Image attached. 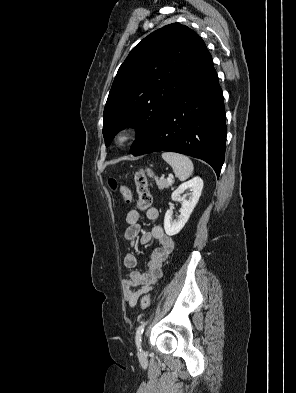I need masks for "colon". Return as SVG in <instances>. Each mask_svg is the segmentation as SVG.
I'll list each match as a JSON object with an SVG mask.
<instances>
[{
  "label": "colon",
  "instance_id": "5ec220e1",
  "mask_svg": "<svg viewBox=\"0 0 296 393\" xmlns=\"http://www.w3.org/2000/svg\"><path fill=\"white\" fill-rule=\"evenodd\" d=\"M151 170H139L134 175L137 199H134L130 188L124 184H119L114 179L109 180V185L113 190L118 189L124 201L128 204H134L135 208L139 211L148 210L151 205V195L149 191L148 178L152 176ZM150 305V296L145 295L141 299V308L147 309Z\"/></svg>",
  "mask_w": 296,
  "mask_h": 393
}]
</instances>
